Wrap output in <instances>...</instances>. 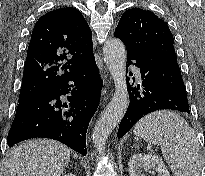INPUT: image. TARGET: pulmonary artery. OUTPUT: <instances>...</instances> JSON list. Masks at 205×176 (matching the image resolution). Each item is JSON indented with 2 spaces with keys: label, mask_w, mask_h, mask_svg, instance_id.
Masks as SVG:
<instances>
[{
  "label": "pulmonary artery",
  "mask_w": 205,
  "mask_h": 176,
  "mask_svg": "<svg viewBox=\"0 0 205 176\" xmlns=\"http://www.w3.org/2000/svg\"><path fill=\"white\" fill-rule=\"evenodd\" d=\"M132 70L135 72V74H136L137 76H140V71H139L138 68L132 67Z\"/></svg>",
  "instance_id": "1"
}]
</instances>
